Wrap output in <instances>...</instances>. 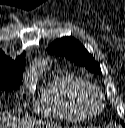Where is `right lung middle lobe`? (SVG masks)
<instances>
[{
    "instance_id": "1",
    "label": "right lung middle lobe",
    "mask_w": 125,
    "mask_h": 128,
    "mask_svg": "<svg viewBox=\"0 0 125 128\" xmlns=\"http://www.w3.org/2000/svg\"><path fill=\"white\" fill-rule=\"evenodd\" d=\"M22 82V72L0 69V89L12 91L19 87Z\"/></svg>"
}]
</instances>
